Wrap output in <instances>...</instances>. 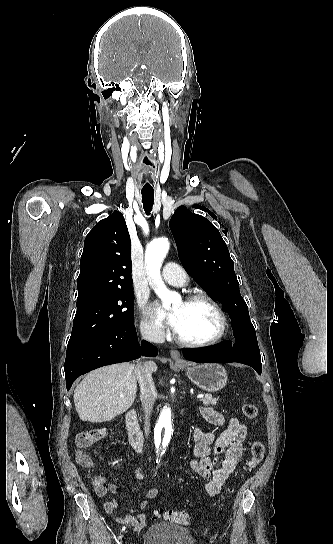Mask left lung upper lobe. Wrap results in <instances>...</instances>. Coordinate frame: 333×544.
Instances as JSON below:
<instances>
[{
	"label": "left lung upper lobe",
	"instance_id": "5c2ea615",
	"mask_svg": "<svg viewBox=\"0 0 333 544\" xmlns=\"http://www.w3.org/2000/svg\"><path fill=\"white\" fill-rule=\"evenodd\" d=\"M179 257L193 279L215 299H222L232 322L249 319L226 243L205 217L180 206L169 222Z\"/></svg>",
	"mask_w": 333,
	"mask_h": 544
}]
</instances>
